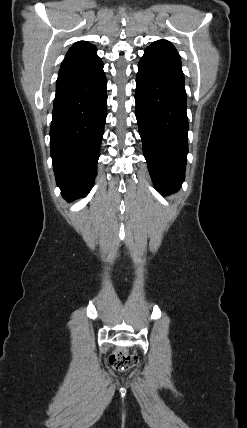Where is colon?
Wrapping results in <instances>:
<instances>
[{"mask_svg": "<svg viewBox=\"0 0 247 428\" xmlns=\"http://www.w3.org/2000/svg\"><path fill=\"white\" fill-rule=\"evenodd\" d=\"M138 361L135 354H130L126 349H119L109 357L110 365L118 370H125L134 366Z\"/></svg>", "mask_w": 247, "mask_h": 428, "instance_id": "1", "label": "colon"}]
</instances>
